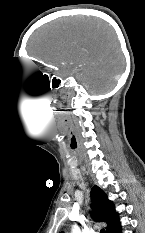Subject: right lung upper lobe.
I'll return each mask as SVG.
<instances>
[{
  "label": "right lung upper lobe",
  "mask_w": 145,
  "mask_h": 233,
  "mask_svg": "<svg viewBox=\"0 0 145 233\" xmlns=\"http://www.w3.org/2000/svg\"><path fill=\"white\" fill-rule=\"evenodd\" d=\"M93 201L92 218L97 222H106V232L119 223V215L115 210V205L107 199V195L98 187L94 186L91 191Z\"/></svg>",
  "instance_id": "1"
}]
</instances>
